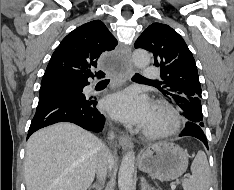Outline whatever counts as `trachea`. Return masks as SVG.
<instances>
[{"mask_svg": "<svg viewBox=\"0 0 234 190\" xmlns=\"http://www.w3.org/2000/svg\"><path fill=\"white\" fill-rule=\"evenodd\" d=\"M133 80H147V81H155V80H149V79H146L145 77L141 76L140 74H135L133 77H132Z\"/></svg>", "mask_w": 234, "mask_h": 190, "instance_id": "trachea-1", "label": "trachea"}]
</instances>
